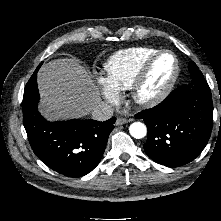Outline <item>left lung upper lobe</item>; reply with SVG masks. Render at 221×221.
I'll return each instance as SVG.
<instances>
[{"mask_svg":"<svg viewBox=\"0 0 221 221\" xmlns=\"http://www.w3.org/2000/svg\"><path fill=\"white\" fill-rule=\"evenodd\" d=\"M189 70L193 80L204 79V76L194 62L189 63Z\"/></svg>","mask_w":221,"mask_h":221,"instance_id":"5c2ea615","label":"left lung upper lobe"}]
</instances>
